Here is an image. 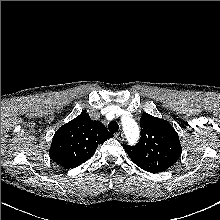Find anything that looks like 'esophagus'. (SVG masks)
Masks as SVG:
<instances>
[{"mask_svg": "<svg viewBox=\"0 0 220 220\" xmlns=\"http://www.w3.org/2000/svg\"><path fill=\"white\" fill-rule=\"evenodd\" d=\"M115 138H117V139L120 140V141H123V139H124V133H122V132L116 133V134H115Z\"/></svg>", "mask_w": 220, "mask_h": 220, "instance_id": "34e87169", "label": "esophagus"}]
</instances>
